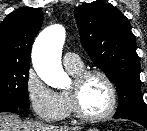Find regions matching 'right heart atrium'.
I'll return each instance as SVG.
<instances>
[{
  "instance_id": "right-heart-atrium-1",
  "label": "right heart atrium",
  "mask_w": 147,
  "mask_h": 131,
  "mask_svg": "<svg viewBox=\"0 0 147 131\" xmlns=\"http://www.w3.org/2000/svg\"><path fill=\"white\" fill-rule=\"evenodd\" d=\"M25 91L28 102L39 119L46 122L63 119L65 114L63 99L58 92L48 87L33 69L27 72Z\"/></svg>"
}]
</instances>
